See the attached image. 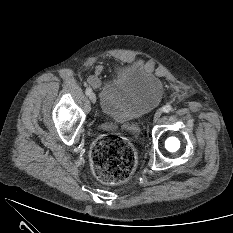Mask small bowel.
I'll use <instances>...</instances> for the list:
<instances>
[{"label": "small bowel", "instance_id": "c3829d8e", "mask_svg": "<svg viewBox=\"0 0 233 233\" xmlns=\"http://www.w3.org/2000/svg\"><path fill=\"white\" fill-rule=\"evenodd\" d=\"M97 70L100 72V71H101V67L99 66V67L97 68ZM99 81H100V80H99L98 76H91V77L88 79L89 84H91V85L94 86V87H97V86H98Z\"/></svg>", "mask_w": 233, "mask_h": 233}]
</instances>
